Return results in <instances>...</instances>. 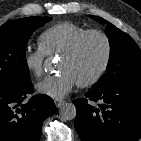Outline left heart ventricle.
Instances as JSON below:
<instances>
[{
	"label": "left heart ventricle",
	"mask_w": 141,
	"mask_h": 141,
	"mask_svg": "<svg viewBox=\"0 0 141 141\" xmlns=\"http://www.w3.org/2000/svg\"><path fill=\"white\" fill-rule=\"evenodd\" d=\"M104 56V41L98 36H91L86 39L75 56L60 58L58 70L70 72L77 82L83 81L98 70Z\"/></svg>",
	"instance_id": "b2bd125f"
}]
</instances>
